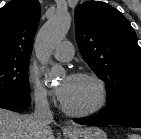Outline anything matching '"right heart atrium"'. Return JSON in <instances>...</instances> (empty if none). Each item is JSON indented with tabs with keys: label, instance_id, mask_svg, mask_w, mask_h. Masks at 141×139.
Returning <instances> with one entry per match:
<instances>
[{
	"label": "right heart atrium",
	"instance_id": "right-heart-atrium-1",
	"mask_svg": "<svg viewBox=\"0 0 141 139\" xmlns=\"http://www.w3.org/2000/svg\"><path fill=\"white\" fill-rule=\"evenodd\" d=\"M27 82L34 101L39 105H48L52 99L51 93L32 69H29L27 73Z\"/></svg>",
	"mask_w": 141,
	"mask_h": 139
}]
</instances>
